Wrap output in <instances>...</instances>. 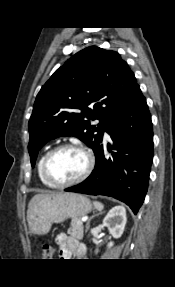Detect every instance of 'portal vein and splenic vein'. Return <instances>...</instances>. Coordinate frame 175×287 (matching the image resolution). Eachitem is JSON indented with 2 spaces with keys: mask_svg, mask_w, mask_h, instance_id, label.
<instances>
[{
  "mask_svg": "<svg viewBox=\"0 0 175 287\" xmlns=\"http://www.w3.org/2000/svg\"><path fill=\"white\" fill-rule=\"evenodd\" d=\"M83 221H85L84 219H82V221H80L79 223L81 224Z\"/></svg>",
  "mask_w": 175,
  "mask_h": 287,
  "instance_id": "1",
  "label": "portal vein and splenic vein"
}]
</instances>
